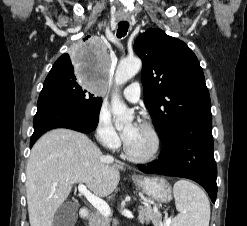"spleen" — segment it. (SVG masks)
I'll use <instances>...</instances> for the list:
<instances>
[{
    "label": "spleen",
    "instance_id": "obj_1",
    "mask_svg": "<svg viewBox=\"0 0 247 226\" xmlns=\"http://www.w3.org/2000/svg\"><path fill=\"white\" fill-rule=\"evenodd\" d=\"M173 194L179 215L172 226H209L210 203L197 185L180 180L174 184Z\"/></svg>",
    "mask_w": 247,
    "mask_h": 226
}]
</instances>
